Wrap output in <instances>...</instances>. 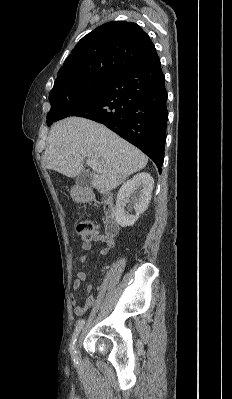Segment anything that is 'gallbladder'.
Listing matches in <instances>:
<instances>
[{
  "label": "gallbladder",
  "mask_w": 232,
  "mask_h": 399,
  "mask_svg": "<svg viewBox=\"0 0 232 399\" xmlns=\"http://www.w3.org/2000/svg\"><path fill=\"white\" fill-rule=\"evenodd\" d=\"M83 168L87 169L88 165L84 164ZM76 184H79V186H81V188H91L92 174H90V172H87V170H82V172H80L78 178H76Z\"/></svg>",
  "instance_id": "gallbladder-1"
}]
</instances>
